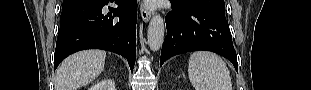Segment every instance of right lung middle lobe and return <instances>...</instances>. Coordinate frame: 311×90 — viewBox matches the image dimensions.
<instances>
[{"label": "right lung middle lobe", "instance_id": "dd1d6c3e", "mask_svg": "<svg viewBox=\"0 0 311 90\" xmlns=\"http://www.w3.org/2000/svg\"><path fill=\"white\" fill-rule=\"evenodd\" d=\"M82 0H63V6L62 9L70 7L78 2H81Z\"/></svg>", "mask_w": 311, "mask_h": 90}]
</instances>
